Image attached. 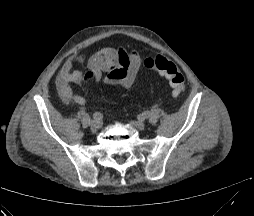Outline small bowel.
<instances>
[{
	"label": "small bowel",
	"instance_id": "small-bowel-1",
	"mask_svg": "<svg viewBox=\"0 0 254 216\" xmlns=\"http://www.w3.org/2000/svg\"><path fill=\"white\" fill-rule=\"evenodd\" d=\"M73 64V59L64 62L56 78V87L64 103L85 105L86 98L74 92L69 85L70 82L84 83L83 72L74 70ZM140 67L141 57L136 49L127 51L124 48L105 47L88 60V69L94 72L95 83L116 85L124 91L133 86Z\"/></svg>",
	"mask_w": 254,
	"mask_h": 216
}]
</instances>
